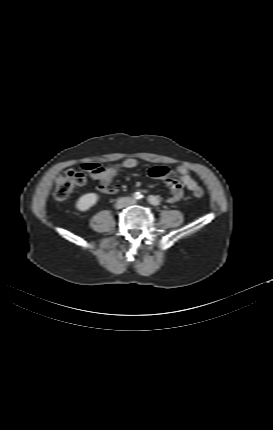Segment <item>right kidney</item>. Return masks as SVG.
I'll use <instances>...</instances> for the list:
<instances>
[{
  "instance_id": "right-kidney-1",
  "label": "right kidney",
  "mask_w": 273,
  "mask_h": 430,
  "mask_svg": "<svg viewBox=\"0 0 273 430\" xmlns=\"http://www.w3.org/2000/svg\"><path fill=\"white\" fill-rule=\"evenodd\" d=\"M99 199V196L97 193H86L80 196L75 203V207L77 210L81 212H85L89 210L91 207H93Z\"/></svg>"
}]
</instances>
